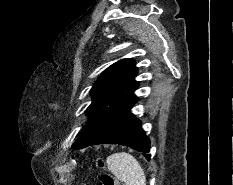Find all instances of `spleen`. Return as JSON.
I'll use <instances>...</instances> for the list:
<instances>
[{
  "label": "spleen",
  "instance_id": "3e777b00",
  "mask_svg": "<svg viewBox=\"0 0 233 185\" xmlns=\"http://www.w3.org/2000/svg\"><path fill=\"white\" fill-rule=\"evenodd\" d=\"M108 170L125 185H146V176L139 162L129 153L117 152L107 157Z\"/></svg>",
  "mask_w": 233,
  "mask_h": 185
}]
</instances>
